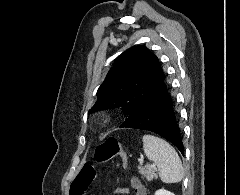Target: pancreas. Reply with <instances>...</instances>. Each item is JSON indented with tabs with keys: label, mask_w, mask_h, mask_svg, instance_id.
Wrapping results in <instances>:
<instances>
[{
	"label": "pancreas",
	"mask_w": 240,
	"mask_h": 195,
	"mask_svg": "<svg viewBox=\"0 0 240 195\" xmlns=\"http://www.w3.org/2000/svg\"><path fill=\"white\" fill-rule=\"evenodd\" d=\"M140 173H142L143 177H146L147 181H152L154 177H158L156 173V167H151V165H145V167H138Z\"/></svg>",
	"instance_id": "1"
}]
</instances>
